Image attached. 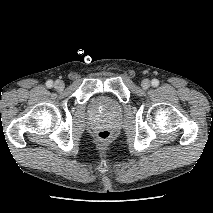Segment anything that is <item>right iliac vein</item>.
<instances>
[{
	"label": "right iliac vein",
	"mask_w": 213,
	"mask_h": 213,
	"mask_svg": "<svg viewBox=\"0 0 213 213\" xmlns=\"http://www.w3.org/2000/svg\"><path fill=\"white\" fill-rule=\"evenodd\" d=\"M64 86H65V84L62 80H56L54 83V88L57 91H62L64 89Z\"/></svg>",
	"instance_id": "right-iliac-vein-1"
}]
</instances>
